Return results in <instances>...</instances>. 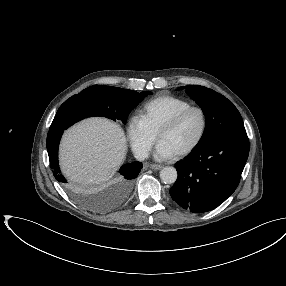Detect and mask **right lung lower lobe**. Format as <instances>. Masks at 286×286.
<instances>
[{"label": "right lung lower lobe", "mask_w": 286, "mask_h": 286, "mask_svg": "<svg viewBox=\"0 0 286 286\" xmlns=\"http://www.w3.org/2000/svg\"><path fill=\"white\" fill-rule=\"evenodd\" d=\"M64 129V127H59L56 125V123L52 122L47 135L46 145L50 160V166L53 170V175L55 179L62 184H67L68 182L62 175L58 164V146ZM142 167L143 165L141 162L135 161L130 164H125L120 168L119 173L121 174V178L119 186L121 190V195L122 191L126 192L128 190L132 183V180L138 176Z\"/></svg>", "instance_id": "1"}]
</instances>
